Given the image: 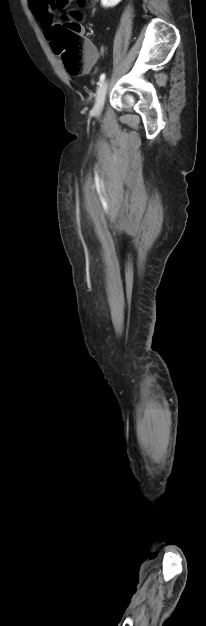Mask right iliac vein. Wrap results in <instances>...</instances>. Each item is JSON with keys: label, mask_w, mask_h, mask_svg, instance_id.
Returning <instances> with one entry per match:
<instances>
[{"label": "right iliac vein", "mask_w": 206, "mask_h": 626, "mask_svg": "<svg viewBox=\"0 0 206 626\" xmlns=\"http://www.w3.org/2000/svg\"><path fill=\"white\" fill-rule=\"evenodd\" d=\"M106 91H107V82L105 81V82H102V84L100 85L98 89L96 103L94 106V111L97 116H100L102 112L104 102H105Z\"/></svg>", "instance_id": "63e3f726"}]
</instances>
